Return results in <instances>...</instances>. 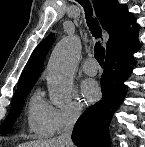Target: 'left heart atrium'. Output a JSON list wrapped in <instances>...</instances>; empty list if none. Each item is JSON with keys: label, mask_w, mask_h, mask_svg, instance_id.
I'll list each match as a JSON object with an SVG mask.
<instances>
[{"label": "left heart atrium", "mask_w": 145, "mask_h": 147, "mask_svg": "<svg viewBox=\"0 0 145 147\" xmlns=\"http://www.w3.org/2000/svg\"><path fill=\"white\" fill-rule=\"evenodd\" d=\"M81 91L83 97L88 101H95L100 94L99 86L94 80L87 79L82 83Z\"/></svg>", "instance_id": "39dd6f15"}]
</instances>
